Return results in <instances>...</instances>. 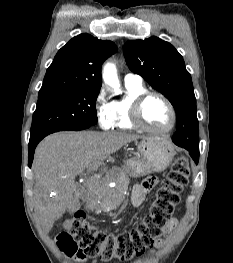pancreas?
I'll use <instances>...</instances> for the list:
<instances>
[{
	"label": "pancreas",
	"instance_id": "1",
	"mask_svg": "<svg viewBox=\"0 0 233 263\" xmlns=\"http://www.w3.org/2000/svg\"><path fill=\"white\" fill-rule=\"evenodd\" d=\"M114 181L117 183L115 188L100 186L96 193V198L99 201L98 206L95 207V213L99 214L106 209H113L120 205L124 200V192L128 188L129 179L122 171H118Z\"/></svg>",
	"mask_w": 233,
	"mask_h": 263
}]
</instances>
